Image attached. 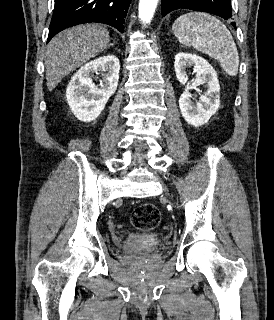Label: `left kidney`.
Masks as SVG:
<instances>
[{
  "mask_svg": "<svg viewBox=\"0 0 274 320\" xmlns=\"http://www.w3.org/2000/svg\"><path fill=\"white\" fill-rule=\"evenodd\" d=\"M187 66H193V74H196L192 84H187ZM174 70L178 82L185 86L179 98V108L184 120L194 128L204 126L220 106V86L215 70L201 56L185 54V52H179L175 56ZM200 84H206L207 90L200 96L199 102L193 104L190 90H196Z\"/></svg>",
  "mask_w": 274,
  "mask_h": 320,
  "instance_id": "left-kidney-1",
  "label": "left kidney"
}]
</instances>
